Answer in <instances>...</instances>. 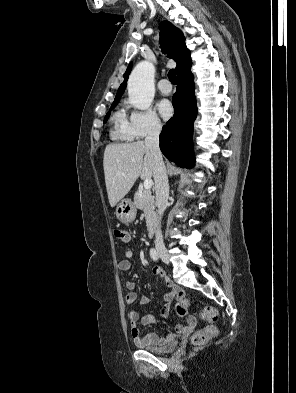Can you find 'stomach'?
Here are the masks:
<instances>
[{
    "label": "stomach",
    "mask_w": 296,
    "mask_h": 393,
    "mask_svg": "<svg viewBox=\"0 0 296 393\" xmlns=\"http://www.w3.org/2000/svg\"><path fill=\"white\" fill-rule=\"evenodd\" d=\"M116 216L123 223H130L136 217V207L129 199H123L116 208Z\"/></svg>",
    "instance_id": "1"
}]
</instances>
